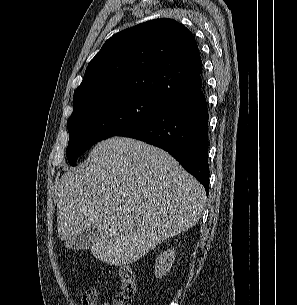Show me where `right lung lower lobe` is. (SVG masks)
Listing matches in <instances>:
<instances>
[{"label": "right lung lower lobe", "mask_w": 297, "mask_h": 305, "mask_svg": "<svg viewBox=\"0 0 297 305\" xmlns=\"http://www.w3.org/2000/svg\"><path fill=\"white\" fill-rule=\"evenodd\" d=\"M117 136L135 138L170 153L208 194V109L201 87L168 101Z\"/></svg>", "instance_id": "1"}]
</instances>
